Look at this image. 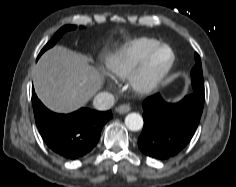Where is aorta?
<instances>
[{"label": "aorta", "instance_id": "obj_1", "mask_svg": "<svg viewBox=\"0 0 236 187\" xmlns=\"http://www.w3.org/2000/svg\"><path fill=\"white\" fill-rule=\"evenodd\" d=\"M125 125L131 131H139L143 127V118L138 113H129L125 117Z\"/></svg>", "mask_w": 236, "mask_h": 187}]
</instances>
